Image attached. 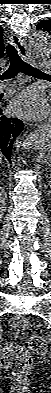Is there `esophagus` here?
<instances>
[{
	"label": "esophagus",
	"instance_id": "obj_1",
	"mask_svg": "<svg viewBox=\"0 0 51 393\" xmlns=\"http://www.w3.org/2000/svg\"><path fill=\"white\" fill-rule=\"evenodd\" d=\"M11 39H12L14 45L16 46V48L18 50V53L21 56V58L24 61L29 62L30 61V56H29V53H28L27 48L25 46V43L23 42L21 37L13 34L11 36ZM41 126L42 127H48V126H50V124L49 123H42Z\"/></svg>",
	"mask_w": 51,
	"mask_h": 393
}]
</instances>
